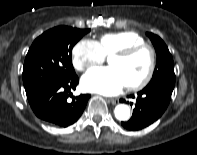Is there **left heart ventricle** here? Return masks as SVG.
<instances>
[{"mask_svg":"<svg viewBox=\"0 0 197 155\" xmlns=\"http://www.w3.org/2000/svg\"><path fill=\"white\" fill-rule=\"evenodd\" d=\"M149 61V55L145 51L128 58L117 56L109 58L110 66L116 68L121 73L126 85L136 83L145 76L149 67Z\"/></svg>","mask_w":197,"mask_h":155,"instance_id":"b2bd125f","label":"left heart ventricle"}]
</instances>
